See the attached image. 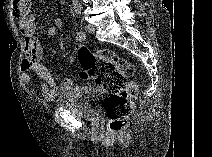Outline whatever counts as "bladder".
<instances>
[{
  "label": "bladder",
  "instance_id": "1",
  "mask_svg": "<svg viewBox=\"0 0 212 157\" xmlns=\"http://www.w3.org/2000/svg\"><path fill=\"white\" fill-rule=\"evenodd\" d=\"M105 93L94 86H76L57 100L56 106L73 111L85 119L94 121L99 118L98 104Z\"/></svg>",
  "mask_w": 212,
  "mask_h": 157
}]
</instances>
